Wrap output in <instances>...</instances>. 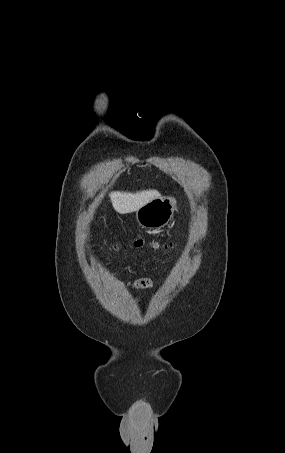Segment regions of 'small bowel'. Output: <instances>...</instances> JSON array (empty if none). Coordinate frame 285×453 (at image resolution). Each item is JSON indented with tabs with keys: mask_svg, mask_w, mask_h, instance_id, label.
Instances as JSON below:
<instances>
[{
	"mask_svg": "<svg viewBox=\"0 0 285 453\" xmlns=\"http://www.w3.org/2000/svg\"><path fill=\"white\" fill-rule=\"evenodd\" d=\"M154 286V282L150 278H138L134 281L128 282L129 289L142 290V289H151Z\"/></svg>",
	"mask_w": 285,
	"mask_h": 453,
	"instance_id": "1",
	"label": "small bowel"
}]
</instances>
